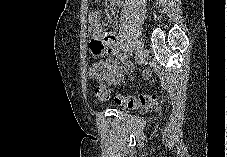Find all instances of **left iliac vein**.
<instances>
[{
  "mask_svg": "<svg viewBox=\"0 0 227 157\" xmlns=\"http://www.w3.org/2000/svg\"><path fill=\"white\" fill-rule=\"evenodd\" d=\"M141 49L138 54V61L140 64H145L149 57V51L141 44Z\"/></svg>",
  "mask_w": 227,
  "mask_h": 157,
  "instance_id": "4c4485c4",
  "label": "left iliac vein"
}]
</instances>
